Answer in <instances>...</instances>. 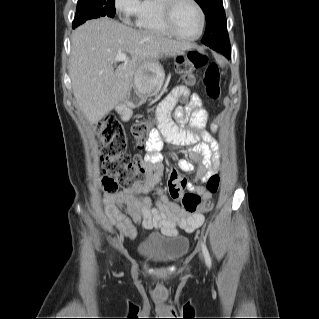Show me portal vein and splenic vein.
I'll use <instances>...</instances> for the list:
<instances>
[{
	"mask_svg": "<svg viewBox=\"0 0 319 319\" xmlns=\"http://www.w3.org/2000/svg\"><path fill=\"white\" fill-rule=\"evenodd\" d=\"M115 60L117 62L126 61L127 60V56L124 53H119V54L116 55Z\"/></svg>",
	"mask_w": 319,
	"mask_h": 319,
	"instance_id": "18ae733b",
	"label": "portal vein and splenic vein"
}]
</instances>
